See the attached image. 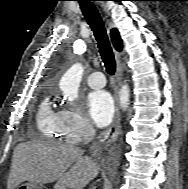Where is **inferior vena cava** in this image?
<instances>
[{
  "mask_svg": "<svg viewBox=\"0 0 188 189\" xmlns=\"http://www.w3.org/2000/svg\"><path fill=\"white\" fill-rule=\"evenodd\" d=\"M81 134H82L84 143L88 144L94 138L95 129L92 125L86 126L82 130ZM92 189H95V187H93Z\"/></svg>",
  "mask_w": 188,
  "mask_h": 189,
  "instance_id": "inferior-vena-cava-1",
  "label": "inferior vena cava"
}]
</instances>
